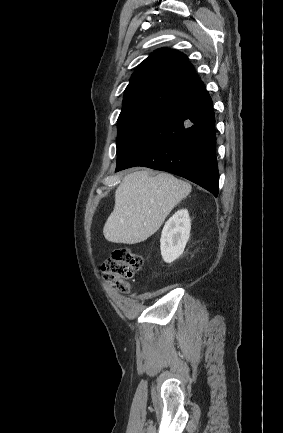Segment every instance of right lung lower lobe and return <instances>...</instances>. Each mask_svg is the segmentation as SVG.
Listing matches in <instances>:
<instances>
[{
    "label": "right lung lower lobe",
    "instance_id": "1",
    "mask_svg": "<svg viewBox=\"0 0 283 433\" xmlns=\"http://www.w3.org/2000/svg\"><path fill=\"white\" fill-rule=\"evenodd\" d=\"M134 166L179 175L218 195L215 117L206 90L162 112L129 142L116 172Z\"/></svg>",
    "mask_w": 283,
    "mask_h": 433
}]
</instances>
